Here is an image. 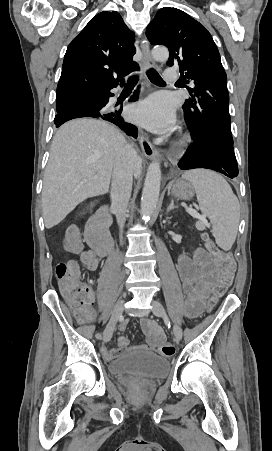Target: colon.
<instances>
[{"mask_svg":"<svg viewBox=\"0 0 272 451\" xmlns=\"http://www.w3.org/2000/svg\"><path fill=\"white\" fill-rule=\"evenodd\" d=\"M62 247L66 256H78L82 247L79 230H66L62 237ZM209 251L216 257L220 266L213 273V290L210 301L214 302L232 284L235 277L236 263L233 254L222 251L214 244H209ZM79 261L76 258L71 261H63L55 268L59 289H63V296L67 303H71L72 310H87L93 294L88 293L87 288H82L80 272L76 269ZM160 348L164 355L170 356L174 353V346L169 342H162Z\"/></svg>","mask_w":272,"mask_h":451,"instance_id":"5ec220e1","label":"colon"}]
</instances>
